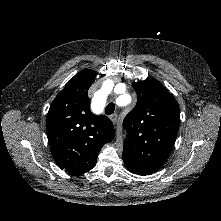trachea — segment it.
<instances>
[{
  "label": "trachea",
  "mask_w": 221,
  "mask_h": 221,
  "mask_svg": "<svg viewBox=\"0 0 221 221\" xmlns=\"http://www.w3.org/2000/svg\"><path fill=\"white\" fill-rule=\"evenodd\" d=\"M115 110V104L114 103H109L106 108H105V114L111 115L114 113Z\"/></svg>",
  "instance_id": "obj_1"
}]
</instances>
